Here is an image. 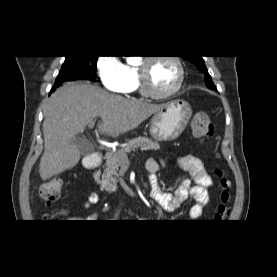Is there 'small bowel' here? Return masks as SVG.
<instances>
[{"label": "small bowel", "instance_id": "obj_1", "mask_svg": "<svg viewBox=\"0 0 277 277\" xmlns=\"http://www.w3.org/2000/svg\"><path fill=\"white\" fill-rule=\"evenodd\" d=\"M178 166L189 174V178L180 181L174 193L162 191L157 183L156 173L159 164L156 159L147 160L146 169L148 172V183L150 186L151 198L167 211L176 210L185 200L192 198L195 204L189 211L191 219L196 220L201 217L204 207L209 202V188L212 186V179L207 173L202 161L193 155H185L178 159ZM100 196L91 193L83 202V206L92 210L90 220L97 218L94 206L99 203Z\"/></svg>", "mask_w": 277, "mask_h": 277}]
</instances>
